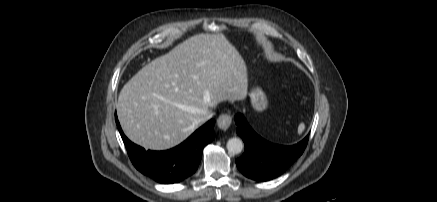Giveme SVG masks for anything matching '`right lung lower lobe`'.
Returning a JSON list of instances; mask_svg holds the SVG:
<instances>
[{
	"instance_id": "98d812e1",
	"label": "right lung lower lobe",
	"mask_w": 437,
	"mask_h": 202,
	"mask_svg": "<svg viewBox=\"0 0 437 202\" xmlns=\"http://www.w3.org/2000/svg\"><path fill=\"white\" fill-rule=\"evenodd\" d=\"M115 121L135 168L159 183H179L197 170L205 145L214 137V119H211L180 145L166 151H146L132 143L123 133L117 115Z\"/></svg>"
}]
</instances>
